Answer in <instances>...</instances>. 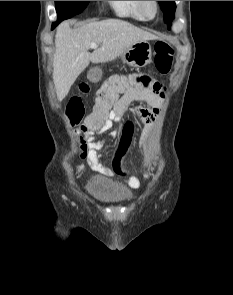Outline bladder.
<instances>
[{
  "label": "bladder",
  "mask_w": 233,
  "mask_h": 295,
  "mask_svg": "<svg viewBox=\"0 0 233 295\" xmlns=\"http://www.w3.org/2000/svg\"><path fill=\"white\" fill-rule=\"evenodd\" d=\"M85 191L105 203H127L134 198V193L128 187L99 175L88 180Z\"/></svg>",
  "instance_id": "obj_1"
}]
</instances>
